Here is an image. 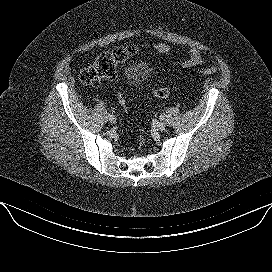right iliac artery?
I'll return each instance as SVG.
<instances>
[{"mask_svg": "<svg viewBox=\"0 0 272 272\" xmlns=\"http://www.w3.org/2000/svg\"><path fill=\"white\" fill-rule=\"evenodd\" d=\"M113 115L109 114L108 117H112Z\"/></svg>", "mask_w": 272, "mask_h": 272, "instance_id": "1", "label": "right iliac artery"}]
</instances>
